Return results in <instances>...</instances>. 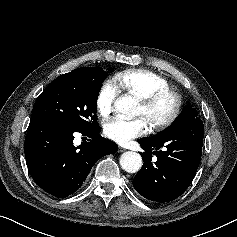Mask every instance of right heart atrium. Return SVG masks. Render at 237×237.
I'll use <instances>...</instances> for the list:
<instances>
[{
	"label": "right heart atrium",
	"instance_id": "right-heart-atrium-1",
	"mask_svg": "<svg viewBox=\"0 0 237 237\" xmlns=\"http://www.w3.org/2000/svg\"><path fill=\"white\" fill-rule=\"evenodd\" d=\"M120 90L113 80L103 82L96 96V109L100 116L106 118L113 110Z\"/></svg>",
	"mask_w": 237,
	"mask_h": 237
}]
</instances>
